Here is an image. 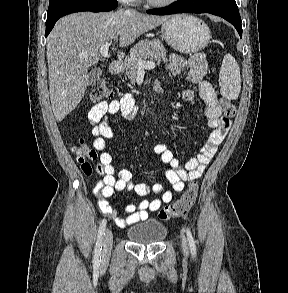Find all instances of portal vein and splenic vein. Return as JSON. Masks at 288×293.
<instances>
[{
    "label": "portal vein and splenic vein",
    "mask_w": 288,
    "mask_h": 293,
    "mask_svg": "<svg viewBox=\"0 0 288 293\" xmlns=\"http://www.w3.org/2000/svg\"><path fill=\"white\" fill-rule=\"evenodd\" d=\"M110 43H105L100 48V53L104 58H109L110 54L108 53ZM138 69H153L155 68V62L153 61H144L142 59L137 62Z\"/></svg>",
    "instance_id": "portal-vein-and-splenic-vein-1"
}]
</instances>
